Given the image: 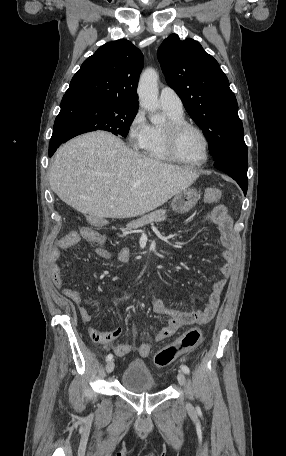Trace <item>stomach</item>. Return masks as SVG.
I'll return each instance as SVG.
<instances>
[{"instance_id": "1", "label": "stomach", "mask_w": 286, "mask_h": 456, "mask_svg": "<svg viewBox=\"0 0 286 456\" xmlns=\"http://www.w3.org/2000/svg\"><path fill=\"white\" fill-rule=\"evenodd\" d=\"M199 198L200 194L197 190L188 188L175 195L171 207L177 213H187L196 205Z\"/></svg>"}]
</instances>
